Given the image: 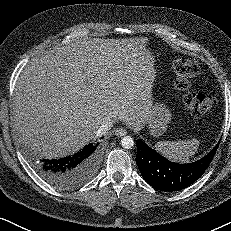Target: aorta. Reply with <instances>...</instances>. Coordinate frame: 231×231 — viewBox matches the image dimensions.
Here are the masks:
<instances>
[{
    "mask_svg": "<svg viewBox=\"0 0 231 231\" xmlns=\"http://www.w3.org/2000/svg\"><path fill=\"white\" fill-rule=\"evenodd\" d=\"M121 145L125 149H131L134 146V139L131 136H124L121 139Z\"/></svg>",
    "mask_w": 231,
    "mask_h": 231,
    "instance_id": "1",
    "label": "aorta"
}]
</instances>
